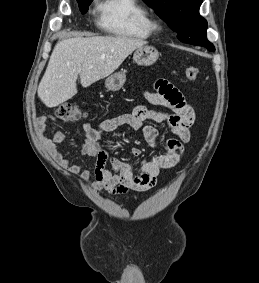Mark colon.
I'll use <instances>...</instances> for the list:
<instances>
[{"instance_id":"1","label":"colon","mask_w":259,"mask_h":283,"mask_svg":"<svg viewBox=\"0 0 259 283\" xmlns=\"http://www.w3.org/2000/svg\"><path fill=\"white\" fill-rule=\"evenodd\" d=\"M185 75L188 80L195 82L199 76V69L196 66L189 64L185 68ZM56 116L64 121H74L83 118L84 114L78 105L64 103L56 109Z\"/></svg>"}]
</instances>
